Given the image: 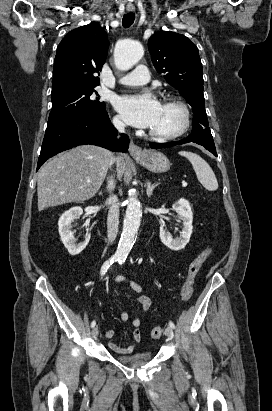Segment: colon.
Returning <instances> with one entry per match:
<instances>
[{"label":"colon","mask_w":272,"mask_h":411,"mask_svg":"<svg viewBox=\"0 0 272 411\" xmlns=\"http://www.w3.org/2000/svg\"><path fill=\"white\" fill-rule=\"evenodd\" d=\"M210 257L209 251H204L199 254L196 258H194L191 263L189 264L187 276L183 283L181 289V299L183 301H188L192 294H193V287L195 278L200 271L201 267L207 262ZM163 335V327L157 326L152 328L151 330V337L154 339L160 338Z\"/></svg>","instance_id":"1"}]
</instances>
